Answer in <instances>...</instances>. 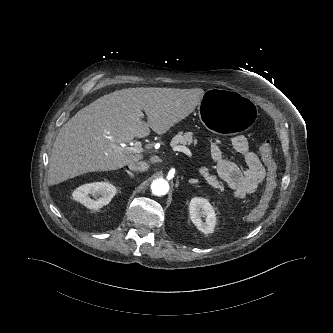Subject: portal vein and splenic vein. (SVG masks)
Returning a JSON list of instances; mask_svg holds the SVG:
<instances>
[{"instance_id":"18ae733b","label":"portal vein and splenic vein","mask_w":333,"mask_h":333,"mask_svg":"<svg viewBox=\"0 0 333 333\" xmlns=\"http://www.w3.org/2000/svg\"><path fill=\"white\" fill-rule=\"evenodd\" d=\"M121 149L125 151L127 154H134V153H141L143 152L142 144L140 141L135 142L133 146L125 147L123 144H121ZM174 151H180L185 153L188 157H192V153L189 148L185 146H175L173 148Z\"/></svg>"}]
</instances>
